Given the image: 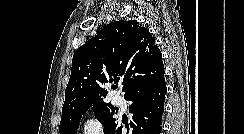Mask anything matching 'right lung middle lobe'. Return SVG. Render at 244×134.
I'll list each match as a JSON object with an SVG mask.
<instances>
[{"label": "right lung middle lobe", "mask_w": 244, "mask_h": 134, "mask_svg": "<svg viewBox=\"0 0 244 134\" xmlns=\"http://www.w3.org/2000/svg\"><path fill=\"white\" fill-rule=\"evenodd\" d=\"M83 111L77 116L70 118L61 119L60 122V134H76L79 126V121L81 116L87 111ZM117 109L114 108L111 104L101 103L96 106H93V112L96 115L99 122L104 126V133L109 128V126L115 121V113Z\"/></svg>", "instance_id": "dd1d6c3e"}]
</instances>
